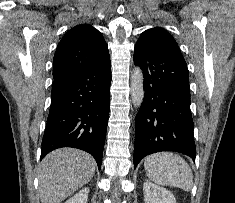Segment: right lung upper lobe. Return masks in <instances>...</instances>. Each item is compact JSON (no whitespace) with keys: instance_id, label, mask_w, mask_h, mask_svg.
I'll return each mask as SVG.
<instances>
[{"instance_id":"cb5924a9","label":"right lung upper lobe","mask_w":235,"mask_h":203,"mask_svg":"<svg viewBox=\"0 0 235 203\" xmlns=\"http://www.w3.org/2000/svg\"><path fill=\"white\" fill-rule=\"evenodd\" d=\"M109 57L102 34L90 25H78L59 42L53 59V85L70 79Z\"/></svg>"}]
</instances>
